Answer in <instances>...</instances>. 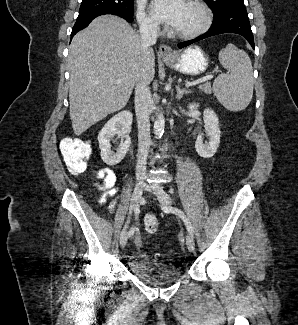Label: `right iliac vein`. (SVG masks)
I'll list each match as a JSON object with an SVG mask.
<instances>
[{
    "instance_id": "63e3f726",
    "label": "right iliac vein",
    "mask_w": 298,
    "mask_h": 325,
    "mask_svg": "<svg viewBox=\"0 0 298 325\" xmlns=\"http://www.w3.org/2000/svg\"><path fill=\"white\" fill-rule=\"evenodd\" d=\"M145 187V183L143 179H139L135 185L134 192L132 194L131 198V210H133L139 203L142 197L143 189ZM127 228H128V222L124 226L121 235H120V245L121 247H125L127 243V238H128V233H127Z\"/></svg>"
}]
</instances>
